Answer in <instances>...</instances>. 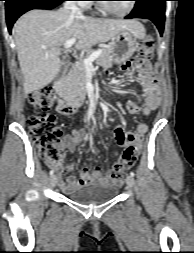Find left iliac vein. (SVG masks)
<instances>
[{
	"mask_svg": "<svg viewBox=\"0 0 194 253\" xmlns=\"http://www.w3.org/2000/svg\"><path fill=\"white\" fill-rule=\"evenodd\" d=\"M126 184L129 188H132L134 186V178L132 176L126 177Z\"/></svg>",
	"mask_w": 194,
	"mask_h": 253,
	"instance_id": "4c4485c4",
	"label": "left iliac vein"
}]
</instances>
